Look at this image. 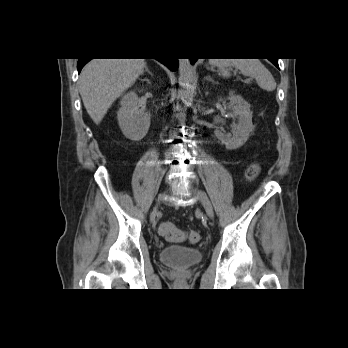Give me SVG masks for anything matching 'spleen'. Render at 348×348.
Segmentation results:
<instances>
[{
    "instance_id": "1",
    "label": "spleen",
    "mask_w": 348,
    "mask_h": 348,
    "mask_svg": "<svg viewBox=\"0 0 348 348\" xmlns=\"http://www.w3.org/2000/svg\"><path fill=\"white\" fill-rule=\"evenodd\" d=\"M212 67H217L220 75L230 77V69H238L244 76L254 78L260 88L274 91L276 82L270 71L258 59H211Z\"/></svg>"
}]
</instances>
